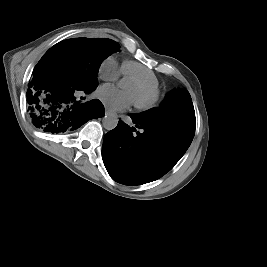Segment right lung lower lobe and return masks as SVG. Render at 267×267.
Returning a JSON list of instances; mask_svg holds the SVG:
<instances>
[{
	"instance_id": "98d812e1",
	"label": "right lung lower lobe",
	"mask_w": 267,
	"mask_h": 267,
	"mask_svg": "<svg viewBox=\"0 0 267 267\" xmlns=\"http://www.w3.org/2000/svg\"><path fill=\"white\" fill-rule=\"evenodd\" d=\"M27 93L29 114L35 127L49 133L68 132L88 120L104 116V106L95 99L76 101L77 91L91 93L94 89H80L58 70L39 64L33 72Z\"/></svg>"
}]
</instances>
